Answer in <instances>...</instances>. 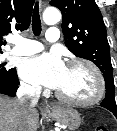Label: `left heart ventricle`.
Wrapping results in <instances>:
<instances>
[{"label":"left heart ventricle","mask_w":117,"mask_h":131,"mask_svg":"<svg viewBox=\"0 0 117 131\" xmlns=\"http://www.w3.org/2000/svg\"><path fill=\"white\" fill-rule=\"evenodd\" d=\"M57 90L73 99H89L96 93V80L85 67L67 66L64 79Z\"/></svg>","instance_id":"left-heart-ventricle-1"}]
</instances>
